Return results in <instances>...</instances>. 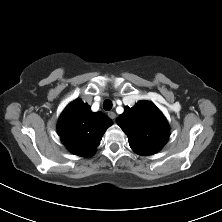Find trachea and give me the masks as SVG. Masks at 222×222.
<instances>
[{
	"instance_id": "1",
	"label": "trachea",
	"mask_w": 222,
	"mask_h": 222,
	"mask_svg": "<svg viewBox=\"0 0 222 222\" xmlns=\"http://www.w3.org/2000/svg\"><path fill=\"white\" fill-rule=\"evenodd\" d=\"M112 106H113V104H112V101L111 100H105L104 102H103V108H104V110H106V111H110L111 109H112Z\"/></svg>"
}]
</instances>
